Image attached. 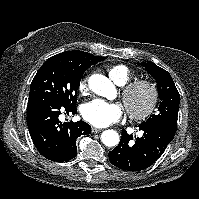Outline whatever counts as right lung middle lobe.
<instances>
[{"mask_svg": "<svg viewBox=\"0 0 199 199\" xmlns=\"http://www.w3.org/2000/svg\"><path fill=\"white\" fill-rule=\"evenodd\" d=\"M83 73L48 59L35 75L29 96L45 93L58 98L65 106L76 107L77 90Z\"/></svg>", "mask_w": 199, "mask_h": 199, "instance_id": "dd1d6c3e", "label": "right lung middle lobe"}]
</instances>
